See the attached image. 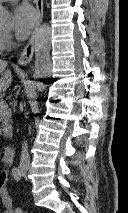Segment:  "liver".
Here are the masks:
<instances>
[{"instance_id":"obj_1","label":"liver","mask_w":128,"mask_h":213,"mask_svg":"<svg viewBox=\"0 0 128 213\" xmlns=\"http://www.w3.org/2000/svg\"><path fill=\"white\" fill-rule=\"evenodd\" d=\"M7 62L0 59V93L4 92L12 82L11 70L6 69Z\"/></svg>"}]
</instances>
